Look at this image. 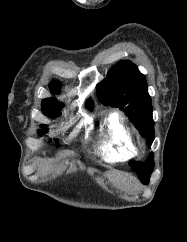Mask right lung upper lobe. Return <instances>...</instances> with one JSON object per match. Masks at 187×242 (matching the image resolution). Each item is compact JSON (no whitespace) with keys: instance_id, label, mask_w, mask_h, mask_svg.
I'll return each instance as SVG.
<instances>
[{"instance_id":"right-lung-upper-lobe-1","label":"right lung upper lobe","mask_w":187,"mask_h":242,"mask_svg":"<svg viewBox=\"0 0 187 242\" xmlns=\"http://www.w3.org/2000/svg\"><path fill=\"white\" fill-rule=\"evenodd\" d=\"M60 84L57 81H52L49 84V89L54 94H58L60 92ZM92 102H88V108H91ZM63 107V104L57 101L55 98H47L42 101V112L44 115L49 117H57L60 115V110Z\"/></svg>"}]
</instances>
